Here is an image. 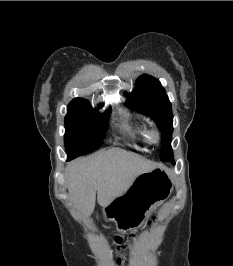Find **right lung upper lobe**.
<instances>
[{
    "label": "right lung upper lobe",
    "instance_id": "right-lung-upper-lobe-1",
    "mask_svg": "<svg viewBox=\"0 0 233 266\" xmlns=\"http://www.w3.org/2000/svg\"><path fill=\"white\" fill-rule=\"evenodd\" d=\"M84 100H85V99H82V98H76V99L72 100V101L70 102V104H72V103H77V102L84 101Z\"/></svg>",
    "mask_w": 233,
    "mask_h": 266
}]
</instances>
